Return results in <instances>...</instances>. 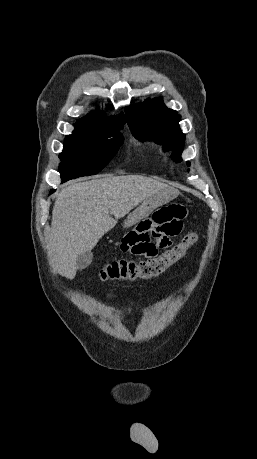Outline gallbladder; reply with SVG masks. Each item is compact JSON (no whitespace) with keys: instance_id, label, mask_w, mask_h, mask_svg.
I'll list each match as a JSON object with an SVG mask.
<instances>
[{"instance_id":"gallbladder-1","label":"gallbladder","mask_w":257,"mask_h":459,"mask_svg":"<svg viewBox=\"0 0 257 459\" xmlns=\"http://www.w3.org/2000/svg\"><path fill=\"white\" fill-rule=\"evenodd\" d=\"M93 254L91 251L80 254L76 259V264L79 269H84L91 264Z\"/></svg>"}]
</instances>
